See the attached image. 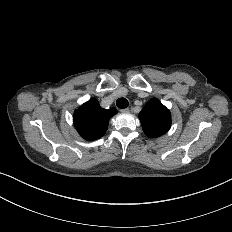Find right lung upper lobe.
I'll list each match as a JSON object with an SVG mask.
<instances>
[{"mask_svg":"<svg viewBox=\"0 0 232 232\" xmlns=\"http://www.w3.org/2000/svg\"><path fill=\"white\" fill-rule=\"evenodd\" d=\"M116 113L115 108L103 109L97 100L92 98L75 110L74 126L85 140H96L105 134L109 119Z\"/></svg>","mask_w":232,"mask_h":232,"instance_id":"obj_1","label":"right lung upper lobe"}]
</instances>
